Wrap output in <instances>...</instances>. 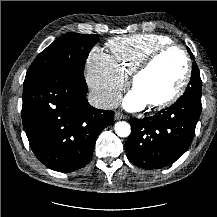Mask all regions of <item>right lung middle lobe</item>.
<instances>
[{
    "label": "right lung middle lobe",
    "mask_w": 217,
    "mask_h": 217,
    "mask_svg": "<svg viewBox=\"0 0 217 217\" xmlns=\"http://www.w3.org/2000/svg\"><path fill=\"white\" fill-rule=\"evenodd\" d=\"M97 40L98 35L78 33L59 37L36 57L26 73L25 81L56 68L67 69L78 80L85 81V61Z\"/></svg>",
    "instance_id": "right-lung-middle-lobe-1"
}]
</instances>
